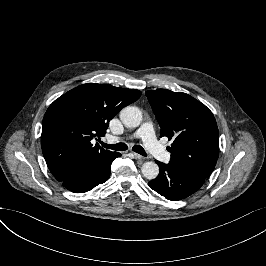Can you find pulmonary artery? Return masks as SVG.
<instances>
[{
    "label": "pulmonary artery",
    "mask_w": 266,
    "mask_h": 266,
    "mask_svg": "<svg viewBox=\"0 0 266 266\" xmlns=\"http://www.w3.org/2000/svg\"><path fill=\"white\" fill-rule=\"evenodd\" d=\"M147 125H144L137 133L136 136H141L144 141H146V147L150 150L151 153L154 155H157L160 159H165L167 156V151L161 149L157 145V138L153 137L152 134V128L151 127H146ZM146 127V128H145ZM143 132V133H142ZM120 138L116 136H108L107 141L112 143V142H117L119 141Z\"/></svg>",
    "instance_id": "pulmonary-artery-1"
}]
</instances>
